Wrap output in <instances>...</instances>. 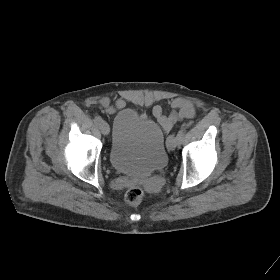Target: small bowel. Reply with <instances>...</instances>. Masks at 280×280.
Masks as SVG:
<instances>
[{
  "label": "small bowel",
  "mask_w": 280,
  "mask_h": 280,
  "mask_svg": "<svg viewBox=\"0 0 280 280\" xmlns=\"http://www.w3.org/2000/svg\"><path fill=\"white\" fill-rule=\"evenodd\" d=\"M101 105L108 113H113L115 110L122 109L126 106L123 99H118L114 104L111 103L108 97L101 100ZM172 111L165 115L161 106L156 105L153 108V115L166 131H170L174 124L181 119H189L195 115V108L193 104L183 98H174L171 101Z\"/></svg>",
  "instance_id": "c3829d8e"
}]
</instances>
